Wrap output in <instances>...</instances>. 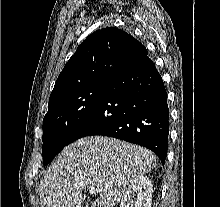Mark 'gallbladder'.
<instances>
[{
	"mask_svg": "<svg viewBox=\"0 0 220 207\" xmlns=\"http://www.w3.org/2000/svg\"><path fill=\"white\" fill-rule=\"evenodd\" d=\"M85 207H92V202L91 201H86L85 202Z\"/></svg>",
	"mask_w": 220,
	"mask_h": 207,
	"instance_id": "1",
	"label": "gallbladder"
}]
</instances>
